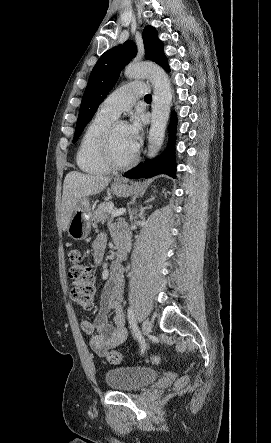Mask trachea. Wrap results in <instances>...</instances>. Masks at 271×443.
<instances>
[{
	"label": "trachea",
	"instance_id": "obj_1",
	"mask_svg": "<svg viewBox=\"0 0 271 443\" xmlns=\"http://www.w3.org/2000/svg\"><path fill=\"white\" fill-rule=\"evenodd\" d=\"M152 97L151 95H145V101H151Z\"/></svg>",
	"mask_w": 271,
	"mask_h": 443
}]
</instances>
